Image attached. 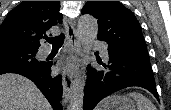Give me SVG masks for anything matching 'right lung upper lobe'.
Masks as SVG:
<instances>
[{
	"label": "right lung upper lobe",
	"instance_id": "cb5924a9",
	"mask_svg": "<svg viewBox=\"0 0 171 110\" xmlns=\"http://www.w3.org/2000/svg\"><path fill=\"white\" fill-rule=\"evenodd\" d=\"M59 9V1H22L1 24L0 48L25 47L38 50L39 39L52 26L62 22Z\"/></svg>",
	"mask_w": 171,
	"mask_h": 110
}]
</instances>
